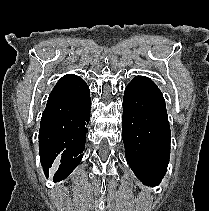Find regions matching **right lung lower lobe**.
Instances as JSON below:
<instances>
[{
	"instance_id": "right-lung-lower-lobe-1",
	"label": "right lung lower lobe",
	"mask_w": 209,
	"mask_h": 211,
	"mask_svg": "<svg viewBox=\"0 0 209 211\" xmlns=\"http://www.w3.org/2000/svg\"><path fill=\"white\" fill-rule=\"evenodd\" d=\"M90 92L77 75L63 76L49 95L39 131V154L46 177L59 165L53 181L65 179L80 163L90 119Z\"/></svg>"
}]
</instances>
